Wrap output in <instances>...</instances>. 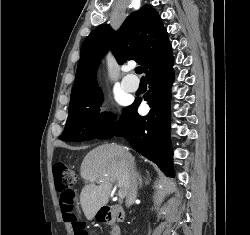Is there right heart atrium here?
<instances>
[{"label":"right heart atrium","instance_id":"d8ad5b80","mask_svg":"<svg viewBox=\"0 0 250 235\" xmlns=\"http://www.w3.org/2000/svg\"><path fill=\"white\" fill-rule=\"evenodd\" d=\"M108 113H109L108 109L105 106H102L98 112V116L107 117Z\"/></svg>","mask_w":250,"mask_h":235}]
</instances>
